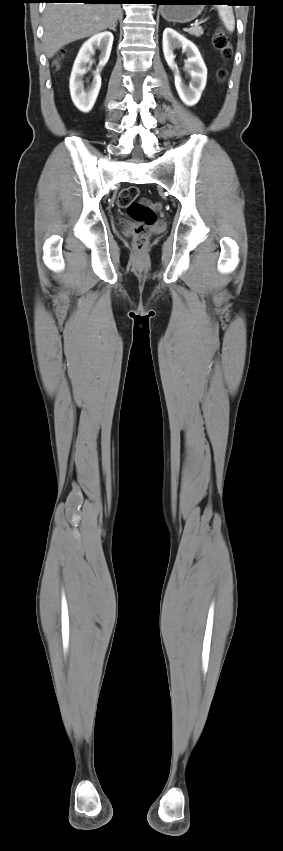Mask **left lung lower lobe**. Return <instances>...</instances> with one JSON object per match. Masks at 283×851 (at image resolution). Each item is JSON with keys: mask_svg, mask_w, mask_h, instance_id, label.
Instances as JSON below:
<instances>
[{"mask_svg": "<svg viewBox=\"0 0 283 851\" xmlns=\"http://www.w3.org/2000/svg\"><path fill=\"white\" fill-rule=\"evenodd\" d=\"M150 1H151V3H154V4L165 5V4L169 3L170 0H150ZM205 1H208V2H211V3H233L236 0H205ZM232 5H235V4H232Z\"/></svg>", "mask_w": 283, "mask_h": 851, "instance_id": "0a47b994", "label": "left lung lower lobe"}]
</instances>
